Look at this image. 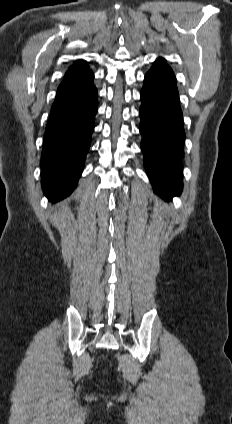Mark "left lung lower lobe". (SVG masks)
I'll return each instance as SVG.
<instances>
[{
    "instance_id": "0a47b994",
    "label": "left lung lower lobe",
    "mask_w": 232,
    "mask_h": 424,
    "mask_svg": "<svg viewBox=\"0 0 232 424\" xmlns=\"http://www.w3.org/2000/svg\"><path fill=\"white\" fill-rule=\"evenodd\" d=\"M141 150L147 175L159 196L180 195L185 132L176 78L163 58L147 72L141 91Z\"/></svg>"
}]
</instances>
